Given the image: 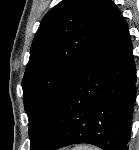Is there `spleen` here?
<instances>
[{"mask_svg":"<svg viewBox=\"0 0 139 150\" xmlns=\"http://www.w3.org/2000/svg\"><path fill=\"white\" fill-rule=\"evenodd\" d=\"M74 150H99V149L93 148V147H86V146H84V147H77Z\"/></svg>","mask_w":139,"mask_h":150,"instance_id":"3e777b00","label":"spleen"}]
</instances>
